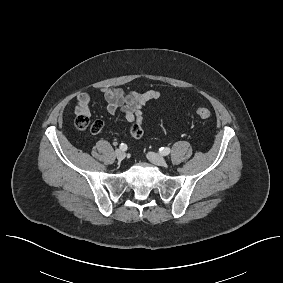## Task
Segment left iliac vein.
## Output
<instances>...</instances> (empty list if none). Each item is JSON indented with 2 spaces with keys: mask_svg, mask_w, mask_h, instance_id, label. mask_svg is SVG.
<instances>
[{
  "mask_svg": "<svg viewBox=\"0 0 283 283\" xmlns=\"http://www.w3.org/2000/svg\"><path fill=\"white\" fill-rule=\"evenodd\" d=\"M147 158L152 162L154 163L155 165H158V166H165L166 165V160L163 156L157 154V153H154V152H149L147 154Z\"/></svg>",
  "mask_w": 283,
  "mask_h": 283,
  "instance_id": "4c4485c4",
  "label": "left iliac vein"
}]
</instances>
